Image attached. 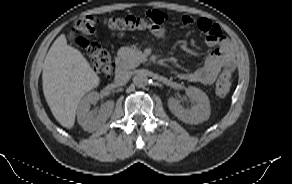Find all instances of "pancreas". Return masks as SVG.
<instances>
[{"instance_id": "cf45deb5", "label": "pancreas", "mask_w": 292, "mask_h": 184, "mask_svg": "<svg viewBox=\"0 0 292 184\" xmlns=\"http://www.w3.org/2000/svg\"><path fill=\"white\" fill-rule=\"evenodd\" d=\"M118 57L121 59V66L124 69L135 68L145 59L142 51L129 47H122L118 51Z\"/></svg>"}]
</instances>
